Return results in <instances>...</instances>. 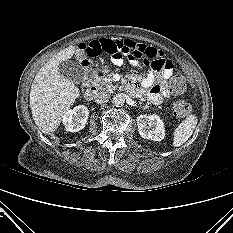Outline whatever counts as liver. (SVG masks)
Masks as SVG:
<instances>
[{"label":"liver","mask_w":233,"mask_h":233,"mask_svg":"<svg viewBox=\"0 0 233 233\" xmlns=\"http://www.w3.org/2000/svg\"><path fill=\"white\" fill-rule=\"evenodd\" d=\"M75 46H69L53 56L37 73L30 91L33 120L44 134L54 132L63 116L79 97V88L62 76L58 65L73 57Z\"/></svg>","instance_id":"liver-1"}]
</instances>
